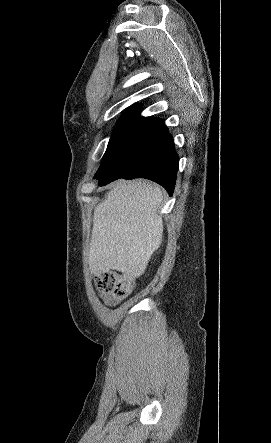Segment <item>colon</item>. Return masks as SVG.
<instances>
[{"mask_svg": "<svg viewBox=\"0 0 271 443\" xmlns=\"http://www.w3.org/2000/svg\"><path fill=\"white\" fill-rule=\"evenodd\" d=\"M94 284L101 293L116 299L127 297L134 287L133 279L129 274L114 271L96 274Z\"/></svg>", "mask_w": 271, "mask_h": 443, "instance_id": "obj_1", "label": "colon"}]
</instances>
